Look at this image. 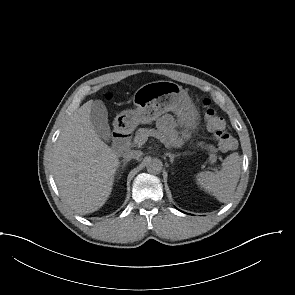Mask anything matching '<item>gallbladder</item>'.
I'll return each mask as SVG.
<instances>
[{"instance_id":"gallbladder-1","label":"gallbladder","mask_w":295,"mask_h":295,"mask_svg":"<svg viewBox=\"0 0 295 295\" xmlns=\"http://www.w3.org/2000/svg\"><path fill=\"white\" fill-rule=\"evenodd\" d=\"M90 120L97 134L108 141L110 139V127L108 124V112L101 100H95L91 107Z\"/></svg>"}]
</instances>
